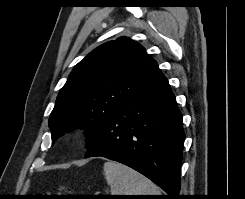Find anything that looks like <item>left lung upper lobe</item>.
Masks as SVG:
<instances>
[{
  "mask_svg": "<svg viewBox=\"0 0 245 199\" xmlns=\"http://www.w3.org/2000/svg\"><path fill=\"white\" fill-rule=\"evenodd\" d=\"M155 60L135 41L121 37L94 49L71 72L49 118L52 141L85 127L89 149L106 120L158 73Z\"/></svg>",
  "mask_w": 245,
  "mask_h": 199,
  "instance_id": "obj_1",
  "label": "left lung upper lobe"
}]
</instances>
